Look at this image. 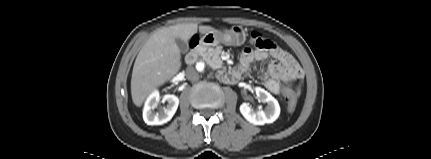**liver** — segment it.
I'll return each mask as SVG.
<instances>
[{"label": "liver", "mask_w": 431, "mask_h": 159, "mask_svg": "<svg viewBox=\"0 0 431 159\" xmlns=\"http://www.w3.org/2000/svg\"><path fill=\"white\" fill-rule=\"evenodd\" d=\"M198 30L201 34L217 31L206 25L179 24L157 30L146 41L136 57L131 78L132 101L137 107L180 70L181 51L176 38L187 42Z\"/></svg>", "instance_id": "liver-1"}]
</instances>
